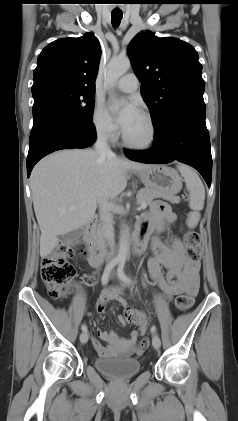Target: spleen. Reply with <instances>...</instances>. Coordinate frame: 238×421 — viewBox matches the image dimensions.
<instances>
[{"instance_id":"obj_1","label":"spleen","mask_w":238,"mask_h":421,"mask_svg":"<svg viewBox=\"0 0 238 421\" xmlns=\"http://www.w3.org/2000/svg\"><path fill=\"white\" fill-rule=\"evenodd\" d=\"M177 168L186 183L189 192V207L192 209L188 214L187 225L189 228H194L200 220V211L204 208L205 187L192 168L182 164H178Z\"/></svg>"}]
</instances>
